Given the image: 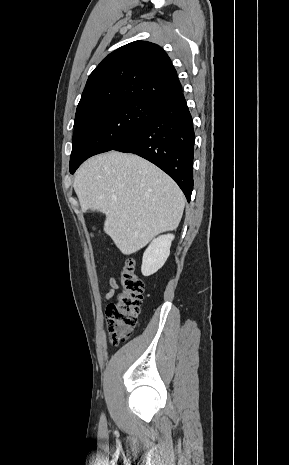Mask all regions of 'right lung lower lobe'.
<instances>
[{
    "mask_svg": "<svg viewBox=\"0 0 289 465\" xmlns=\"http://www.w3.org/2000/svg\"><path fill=\"white\" fill-rule=\"evenodd\" d=\"M154 115L112 150L137 154L166 172L188 202L193 190L194 129L182 91L157 103ZM82 162L70 173H74Z\"/></svg>",
    "mask_w": 289,
    "mask_h": 465,
    "instance_id": "1",
    "label": "right lung lower lobe"
}]
</instances>
